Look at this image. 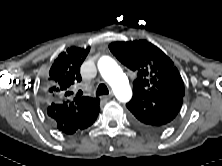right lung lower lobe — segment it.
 Segmentation results:
<instances>
[{"instance_id": "1", "label": "right lung lower lobe", "mask_w": 222, "mask_h": 166, "mask_svg": "<svg viewBox=\"0 0 222 166\" xmlns=\"http://www.w3.org/2000/svg\"><path fill=\"white\" fill-rule=\"evenodd\" d=\"M99 103L97 104L95 112L90 115L87 121L83 117L78 118L76 116V112L70 102L59 104L51 103L47 108V115L52 124L60 131L66 134H72L76 130L87 128L96 120L100 111Z\"/></svg>"}]
</instances>
